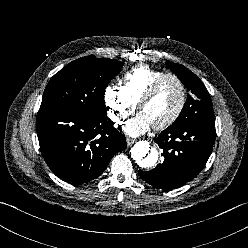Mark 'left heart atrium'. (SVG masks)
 Here are the masks:
<instances>
[{"mask_svg":"<svg viewBox=\"0 0 248 248\" xmlns=\"http://www.w3.org/2000/svg\"><path fill=\"white\" fill-rule=\"evenodd\" d=\"M151 126L148 118L140 112L126 123L124 131L130 136H139L147 132Z\"/></svg>","mask_w":248,"mask_h":248,"instance_id":"left-heart-atrium-1","label":"left heart atrium"}]
</instances>
